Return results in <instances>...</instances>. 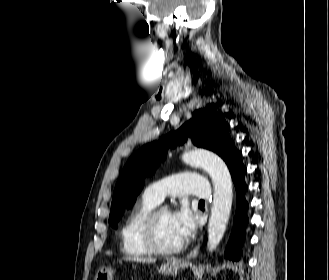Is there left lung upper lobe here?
Instances as JSON below:
<instances>
[{
    "instance_id": "1",
    "label": "left lung upper lobe",
    "mask_w": 329,
    "mask_h": 280,
    "mask_svg": "<svg viewBox=\"0 0 329 280\" xmlns=\"http://www.w3.org/2000/svg\"><path fill=\"white\" fill-rule=\"evenodd\" d=\"M229 124L217 112L209 109L194 111L192 118L180 129L171 132L158 142L143 146L127 161L113 193L109 224L117 228L125 208L135 202L143 188L142 178L152 175L168 149L182 144L191 136L196 146L216 152L226 162L229 170L241 161V153L235 148L228 134Z\"/></svg>"
}]
</instances>
